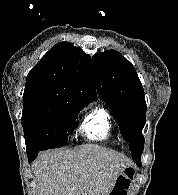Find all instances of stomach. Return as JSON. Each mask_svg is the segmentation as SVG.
<instances>
[{"label":"stomach","mask_w":178,"mask_h":195,"mask_svg":"<svg viewBox=\"0 0 178 195\" xmlns=\"http://www.w3.org/2000/svg\"><path fill=\"white\" fill-rule=\"evenodd\" d=\"M128 170L129 169H127V168H125V169H123L122 170V172L119 174V176L117 177V179H116V181H118L120 178H124V179H128V177L126 176L127 175V172H128ZM117 182H115V184H116ZM116 185H114V187H113V189L111 190V192H110V194L112 195V194H114V192H115V190H116V187H115ZM109 194V195H110Z\"/></svg>","instance_id":"stomach-1"}]
</instances>
